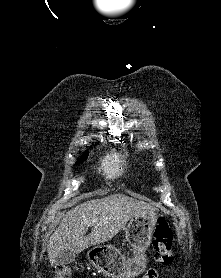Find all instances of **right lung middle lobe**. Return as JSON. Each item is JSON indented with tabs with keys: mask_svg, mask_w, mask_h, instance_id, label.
Returning <instances> with one entry per match:
<instances>
[{
	"mask_svg": "<svg viewBox=\"0 0 221 278\" xmlns=\"http://www.w3.org/2000/svg\"><path fill=\"white\" fill-rule=\"evenodd\" d=\"M87 157H88V152L86 151V152L83 154V156H81L80 160H79L77 163L83 162L85 159H87Z\"/></svg>",
	"mask_w": 221,
	"mask_h": 278,
	"instance_id": "obj_1",
	"label": "right lung middle lobe"
}]
</instances>
